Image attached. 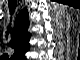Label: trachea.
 <instances>
[{
    "label": "trachea",
    "mask_w": 80,
    "mask_h": 60,
    "mask_svg": "<svg viewBox=\"0 0 80 60\" xmlns=\"http://www.w3.org/2000/svg\"><path fill=\"white\" fill-rule=\"evenodd\" d=\"M8 6H9L10 14L13 15L14 10H15V8L17 6V1L16 0H9L8 1ZM7 29H8V31L6 32V34H7L6 37L9 34V30L11 29V24H10V26L7 27Z\"/></svg>",
    "instance_id": "obj_1"
}]
</instances>
